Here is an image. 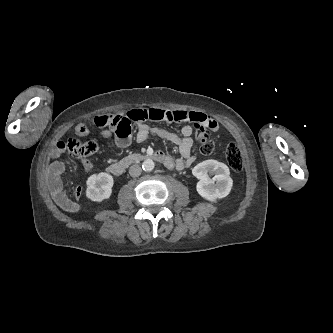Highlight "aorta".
<instances>
[{"label": "aorta", "instance_id": "obj_1", "mask_svg": "<svg viewBox=\"0 0 333 333\" xmlns=\"http://www.w3.org/2000/svg\"><path fill=\"white\" fill-rule=\"evenodd\" d=\"M154 167H155V164H154V162L151 159H146L142 163V168L146 172L152 171L154 169Z\"/></svg>", "mask_w": 333, "mask_h": 333}]
</instances>
